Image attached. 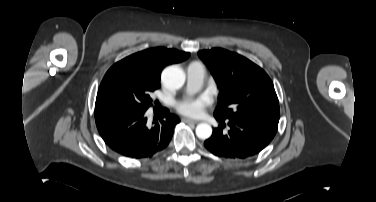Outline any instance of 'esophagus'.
<instances>
[{
  "label": "esophagus",
  "mask_w": 376,
  "mask_h": 202,
  "mask_svg": "<svg viewBox=\"0 0 376 202\" xmlns=\"http://www.w3.org/2000/svg\"><path fill=\"white\" fill-rule=\"evenodd\" d=\"M182 120L184 122H187V123H193V124H197L198 123L197 120H193V119H190V118H183Z\"/></svg>",
  "instance_id": "esophagus-1"
}]
</instances>
